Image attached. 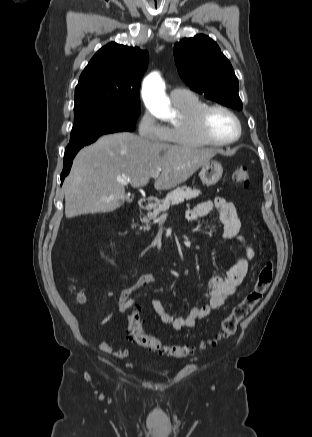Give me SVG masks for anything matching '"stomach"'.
<instances>
[{
  "label": "stomach",
  "instance_id": "obj_1",
  "mask_svg": "<svg viewBox=\"0 0 312 437\" xmlns=\"http://www.w3.org/2000/svg\"><path fill=\"white\" fill-rule=\"evenodd\" d=\"M222 174V165L215 160H210L201 166L199 176L203 184L211 186L215 185L221 179Z\"/></svg>",
  "mask_w": 312,
  "mask_h": 437
}]
</instances>
